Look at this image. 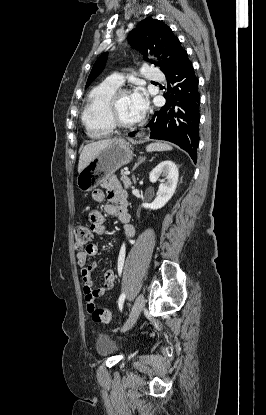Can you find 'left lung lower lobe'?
<instances>
[{
	"instance_id": "1",
	"label": "left lung lower lobe",
	"mask_w": 266,
	"mask_h": 415,
	"mask_svg": "<svg viewBox=\"0 0 266 415\" xmlns=\"http://www.w3.org/2000/svg\"><path fill=\"white\" fill-rule=\"evenodd\" d=\"M168 92H173L166 104L156 111L147 127L150 138L170 141L189 153L197 161L199 143L200 94L198 79L187 52L172 72L166 74ZM170 83L173 88L170 87ZM135 132L129 134L134 136Z\"/></svg>"
}]
</instances>
